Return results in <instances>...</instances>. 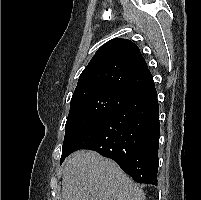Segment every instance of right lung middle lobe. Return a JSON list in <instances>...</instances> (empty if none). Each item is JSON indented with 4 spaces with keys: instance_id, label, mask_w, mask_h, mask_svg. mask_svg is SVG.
I'll list each match as a JSON object with an SVG mask.
<instances>
[{
    "instance_id": "1",
    "label": "right lung middle lobe",
    "mask_w": 201,
    "mask_h": 200,
    "mask_svg": "<svg viewBox=\"0 0 201 200\" xmlns=\"http://www.w3.org/2000/svg\"><path fill=\"white\" fill-rule=\"evenodd\" d=\"M129 99L122 94L107 90L74 94L71 99L70 111L65 125L60 163L66 158V147L75 135Z\"/></svg>"
}]
</instances>
